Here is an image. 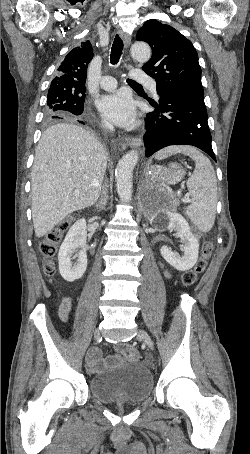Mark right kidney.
<instances>
[{"label":"right kidney","instance_id":"1","mask_svg":"<svg viewBox=\"0 0 250 454\" xmlns=\"http://www.w3.org/2000/svg\"><path fill=\"white\" fill-rule=\"evenodd\" d=\"M86 240V220L82 218L69 229L58 253L59 272L68 282L80 279L86 271ZM73 255L77 258L75 264L71 261Z\"/></svg>","mask_w":250,"mask_h":454}]
</instances>
